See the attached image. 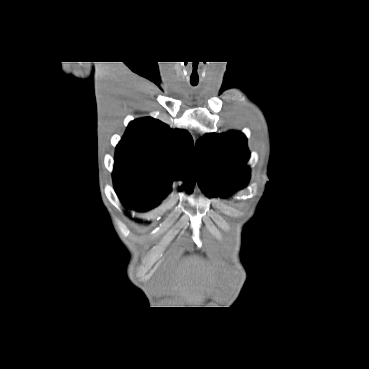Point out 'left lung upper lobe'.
Here are the masks:
<instances>
[{"instance_id": "obj_1", "label": "left lung upper lobe", "mask_w": 369, "mask_h": 369, "mask_svg": "<svg viewBox=\"0 0 369 369\" xmlns=\"http://www.w3.org/2000/svg\"><path fill=\"white\" fill-rule=\"evenodd\" d=\"M247 139L240 132L208 134L195 147V169L199 187L208 197L230 194L245 187L250 169Z\"/></svg>"}]
</instances>
